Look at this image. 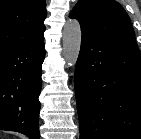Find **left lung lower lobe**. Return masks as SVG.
Wrapping results in <instances>:
<instances>
[{"instance_id": "1", "label": "left lung lower lobe", "mask_w": 141, "mask_h": 139, "mask_svg": "<svg viewBox=\"0 0 141 139\" xmlns=\"http://www.w3.org/2000/svg\"><path fill=\"white\" fill-rule=\"evenodd\" d=\"M75 93L80 139H141L137 46L82 32Z\"/></svg>"}]
</instances>
